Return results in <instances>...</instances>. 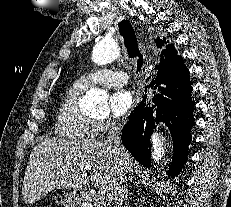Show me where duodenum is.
I'll use <instances>...</instances> for the list:
<instances>
[{
  "label": "duodenum",
  "mask_w": 231,
  "mask_h": 207,
  "mask_svg": "<svg viewBox=\"0 0 231 207\" xmlns=\"http://www.w3.org/2000/svg\"><path fill=\"white\" fill-rule=\"evenodd\" d=\"M77 198L83 205H88L90 202V196L87 193L79 192Z\"/></svg>",
  "instance_id": "1"
}]
</instances>
